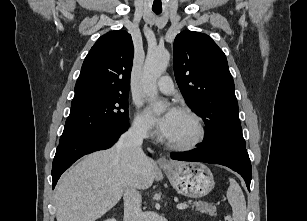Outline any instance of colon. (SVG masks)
<instances>
[{
    "label": "colon",
    "mask_w": 307,
    "mask_h": 221,
    "mask_svg": "<svg viewBox=\"0 0 307 221\" xmlns=\"http://www.w3.org/2000/svg\"><path fill=\"white\" fill-rule=\"evenodd\" d=\"M225 221H232L230 216L225 217Z\"/></svg>",
    "instance_id": "1"
}]
</instances>
